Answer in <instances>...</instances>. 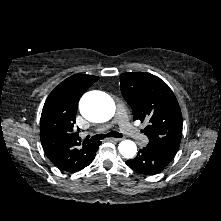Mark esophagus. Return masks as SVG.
<instances>
[{
	"instance_id": "obj_1",
	"label": "esophagus",
	"mask_w": 221,
	"mask_h": 221,
	"mask_svg": "<svg viewBox=\"0 0 221 221\" xmlns=\"http://www.w3.org/2000/svg\"><path fill=\"white\" fill-rule=\"evenodd\" d=\"M111 142H115V143H117V142H120L122 139L121 138H111V139H109Z\"/></svg>"
}]
</instances>
